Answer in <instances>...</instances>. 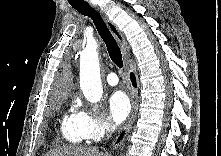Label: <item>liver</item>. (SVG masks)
Returning a JSON list of instances; mask_svg holds the SVG:
<instances>
[{
  "mask_svg": "<svg viewBox=\"0 0 221 156\" xmlns=\"http://www.w3.org/2000/svg\"><path fill=\"white\" fill-rule=\"evenodd\" d=\"M45 156H109L96 147H58L50 150Z\"/></svg>",
  "mask_w": 221,
  "mask_h": 156,
  "instance_id": "obj_1",
  "label": "liver"
}]
</instances>
